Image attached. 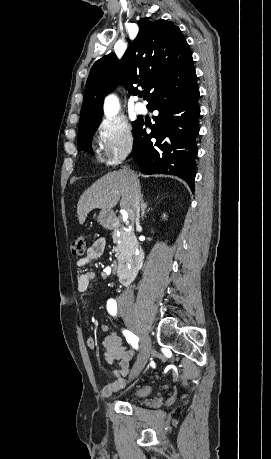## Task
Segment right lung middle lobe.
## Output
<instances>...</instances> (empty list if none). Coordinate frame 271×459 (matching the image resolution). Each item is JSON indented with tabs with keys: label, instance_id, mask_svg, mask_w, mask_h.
<instances>
[{
	"label": "right lung middle lobe",
	"instance_id": "1",
	"mask_svg": "<svg viewBox=\"0 0 271 459\" xmlns=\"http://www.w3.org/2000/svg\"><path fill=\"white\" fill-rule=\"evenodd\" d=\"M101 118H94L89 120H84L79 122L78 130V147L81 150L87 151L90 154H93L91 147V140L98 126L100 125ZM140 123V120L132 122L133 128H135Z\"/></svg>",
	"mask_w": 271,
	"mask_h": 459
}]
</instances>
